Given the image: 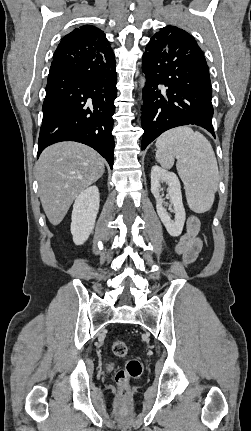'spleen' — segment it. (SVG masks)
I'll use <instances>...</instances> for the list:
<instances>
[{
    "label": "spleen",
    "mask_w": 251,
    "mask_h": 431,
    "mask_svg": "<svg viewBox=\"0 0 251 431\" xmlns=\"http://www.w3.org/2000/svg\"><path fill=\"white\" fill-rule=\"evenodd\" d=\"M156 158L165 169L176 167L184 183L187 203L196 213L208 211L215 198L219 172L210 142L187 126L166 131L156 140Z\"/></svg>",
    "instance_id": "1"
}]
</instances>
